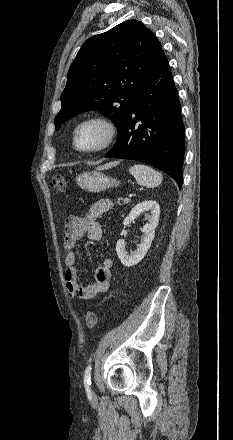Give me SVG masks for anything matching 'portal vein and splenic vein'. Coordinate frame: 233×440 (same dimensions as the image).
<instances>
[{
	"label": "portal vein and splenic vein",
	"instance_id": "portal-vein-and-splenic-vein-1",
	"mask_svg": "<svg viewBox=\"0 0 233 440\" xmlns=\"http://www.w3.org/2000/svg\"><path fill=\"white\" fill-rule=\"evenodd\" d=\"M129 197H133V194H130Z\"/></svg>",
	"mask_w": 233,
	"mask_h": 440
}]
</instances>
